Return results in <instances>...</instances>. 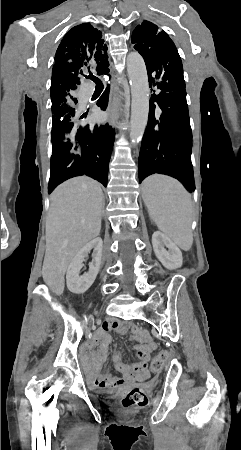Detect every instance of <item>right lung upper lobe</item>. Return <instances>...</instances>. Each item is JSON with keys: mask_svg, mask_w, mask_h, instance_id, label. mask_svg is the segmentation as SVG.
<instances>
[{"mask_svg": "<svg viewBox=\"0 0 241 450\" xmlns=\"http://www.w3.org/2000/svg\"><path fill=\"white\" fill-rule=\"evenodd\" d=\"M107 45L102 33L89 23L73 27L62 39L52 69L51 101L71 96L84 72L107 67Z\"/></svg>", "mask_w": 241, "mask_h": 450, "instance_id": "obj_1", "label": "right lung upper lobe"}]
</instances>
